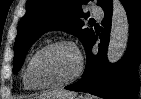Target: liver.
Returning <instances> with one entry per match:
<instances>
[{
  "label": "liver",
  "mask_w": 141,
  "mask_h": 99,
  "mask_svg": "<svg viewBox=\"0 0 141 99\" xmlns=\"http://www.w3.org/2000/svg\"><path fill=\"white\" fill-rule=\"evenodd\" d=\"M77 94L71 91H51L43 93L40 98L48 99H75Z\"/></svg>",
  "instance_id": "6515ba94"
}]
</instances>
